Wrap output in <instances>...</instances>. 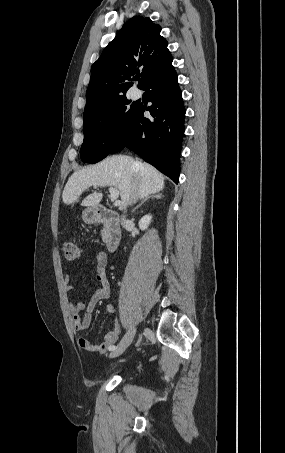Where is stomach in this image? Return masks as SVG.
<instances>
[{
	"label": "stomach",
	"instance_id": "obj_1",
	"mask_svg": "<svg viewBox=\"0 0 285 453\" xmlns=\"http://www.w3.org/2000/svg\"><path fill=\"white\" fill-rule=\"evenodd\" d=\"M82 219L87 224H92L97 220V214L95 209L87 208L82 212Z\"/></svg>",
	"mask_w": 285,
	"mask_h": 453
}]
</instances>
